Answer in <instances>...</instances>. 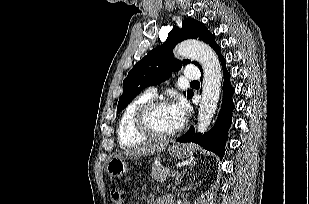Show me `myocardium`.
Returning <instances> with one entry per match:
<instances>
[{"label": "myocardium", "instance_id": "1", "mask_svg": "<svg viewBox=\"0 0 309 204\" xmlns=\"http://www.w3.org/2000/svg\"><path fill=\"white\" fill-rule=\"evenodd\" d=\"M171 105V102L167 99H151L145 102L136 112L134 117V127L136 131L146 139L150 140H165L175 136L180 132L182 125L178 126L168 133H157L153 131L149 124V117L151 113L162 106Z\"/></svg>", "mask_w": 309, "mask_h": 204}]
</instances>
